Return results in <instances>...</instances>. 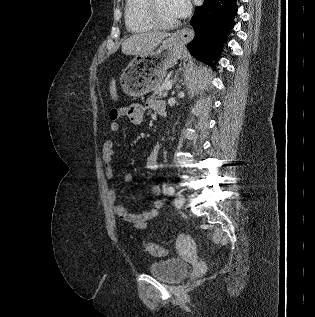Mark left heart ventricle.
Instances as JSON below:
<instances>
[{
  "instance_id": "1",
  "label": "left heart ventricle",
  "mask_w": 315,
  "mask_h": 317,
  "mask_svg": "<svg viewBox=\"0 0 315 317\" xmlns=\"http://www.w3.org/2000/svg\"><path fill=\"white\" fill-rule=\"evenodd\" d=\"M157 16L162 22H172L177 20L174 15L169 0H157L156 2Z\"/></svg>"
}]
</instances>
